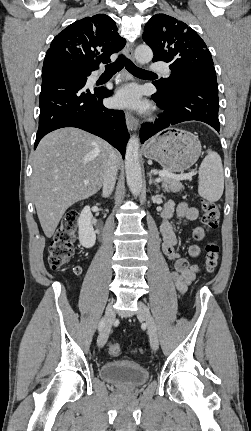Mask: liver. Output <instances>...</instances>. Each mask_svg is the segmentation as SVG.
Segmentation results:
<instances>
[{
	"label": "liver",
	"instance_id": "6515ba94",
	"mask_svg": "<svg viewBox=\"0 0 251 431\" xmlns=\"http://www.w3.org/2000/svg\"><path fill=\"white\" fill-rule=\"evenodd\" d=\"M112 152L119 165L121 156L109 143L71 127L53 131L40 141L33 156L31 188L47 238L53 236L69 207L99 191Z\"/></svg>",
	"mask_w": 251,
	"mask_h": 431
}]
</instances>
